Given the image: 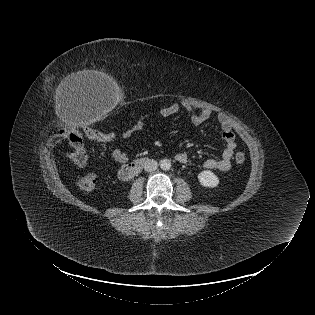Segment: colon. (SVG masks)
Masks as SVG:
<instances>
[{"instance_id":"5ec220e1","label":"colon","mask_w":315,"mask_h":315,"mask_svg":"<svg viewBox=\"0 0 315 315\" xmlns=\"http://www.w3.org/2000/svg\"><path fill=\"white\" fill-rule=\"evenodd\" d=\"M85 138L102 142H108L112 140V136L110 134H106L94 129L72 131L68 137V154L72 162L77 166H85L88 162L89 156L85 148ZM235 161L237 164H243L245 161V154L243 152H237L235 155ZM76 184L81 191L85 193H91L96 189L97 177L93 173H88L79 176L76 180Z\"/></svg>"}]
</instances>
